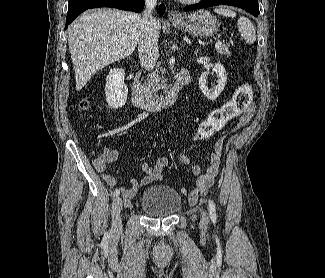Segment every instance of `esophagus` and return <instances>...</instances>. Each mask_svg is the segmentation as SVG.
<instances>
[{"label": "esophagus", "instance_id": "esophagus-1", "mask_svg": "<svg viewBox=\"0 0 325 278\" xmlns=\"http://www.w3.org/2000/svg\"><path fill=\"white\" fill-rule=\"evenodd\" d=\"M168 18L170 21H177L181 19V15L178 12L171 10L168 14Z\"/></svg>", "mask_w": 325, "mask_h": 278}]
</instances>
